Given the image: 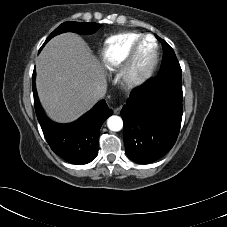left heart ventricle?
I'll return each mask as SVG.
<instances>
[{"label": "left heart ventricle", "mask_w": 227, "mask_h": 227, "mask_svg": "<svg viewBox=\"0 0 227 227\" xmlns=\"http://www.w3.org/2000/svg\"><path fill=\"white\" fill-rule=\"evenodd\" d=\"M154 51V43L151 39L145 41L138 55L137 65L140 69L145 68L150 62Z\"/></svg>", "instance_id": "obj_1"}]
</instances>
